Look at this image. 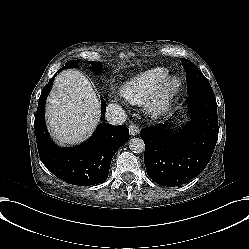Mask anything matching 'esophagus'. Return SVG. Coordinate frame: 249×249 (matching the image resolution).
<instances>
[{
	"instance_id": "esophagus-1",
	"label": "esophagus",
	"mask_w": 249,
	"mask_h": 249,
	"mask_svg": "<svg viewBox=\"0 0 249 249\" xmlns=\"http://www.w3.org/2000/svg\"><path fill=\"white\" fill-rule=\"evenodd\" d=\"M129 131H130V134L132 136H135V135L139 134V127L136 124L131 123L129 125Z\"/></svg>"
}]
</instances>
